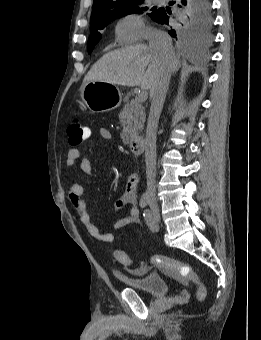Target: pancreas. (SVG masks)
I'll use <instances>...</instances> for the list:
<instances>
[{
	"label": "pancreas",
	"instance_id": "pancreas-1",
	"mask_svg": "<svg viewBox=\"0 0 261 340\" xmlns=\"http://www.w3.org/2000/svg\"><path fill=\"white\" fill-rule=\"evenodd\" d=\"M119 120L123 127L121 139L127 144L132 137L142 131L145 116L141 111V106L132 100L125 104L119 114Z\"/></svg>",
	"mask_w": 261,
	"mask_h": 340
}]
</instances>
